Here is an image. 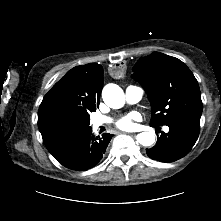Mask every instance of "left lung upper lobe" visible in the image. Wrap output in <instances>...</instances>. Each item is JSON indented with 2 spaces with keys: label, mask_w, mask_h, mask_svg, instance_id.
Masks as SVG:
<instances>
[{
  "label": "left lung upper lobe",
  "mask_w": 221,
  "mask_h": 221,
  "mask_svg": "<svg viewBox=\"0 0 221 221\" xmlns=\"http://www.w3.org/2000/svg\"><path fill=\"white\" fill-rule=\"evenodd\" d=\"M132 77L139 81L152 104L151 125L190 115H201L203 106L198 82L182 61L163 53L139 59Z\"/></svg>",
  "instance_id": "5c2ea615"
}]
</instances>
